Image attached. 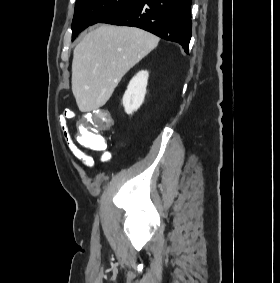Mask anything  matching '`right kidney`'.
Wrapping results in <instances>:
<instances>
[{
  "mask_svg": "<svg viewBox=\"0 0 280 283\" xmlns=\"http://www.w3.org/2000/svg\"><path fill=\"white\" fill-rule=\"evenodd\" d=\"M148 77V71H140L129 82L122 100L127 114H132L142 105L146 94Z\"/></svg>",
  "mask_w": 280,
  "mask_h": 283,
  "instance_id": "right-kidney-1",
  "label": "right kidney"
}]
</instances>
